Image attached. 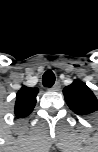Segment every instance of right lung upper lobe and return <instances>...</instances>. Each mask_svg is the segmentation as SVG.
Returning <instances> with one entry per match:
<instances>
[{
	"instance_id": "cb5924a9",
	"label": "right lung upper lobe",
	"mask_w": 98,
	"mask_h": 152,
	"mask_svg": "<svg viewBox=\"0 0 98 152\" xmlns=\"http://www.w3.org/2000/svg\"><path fill=\"white\" fill-rule=\"evenodd\" d=\"M38 88L22 86L16 94L14 113L17 118L28 116L36 105Z\"/></svg>"
}]
</instances>
